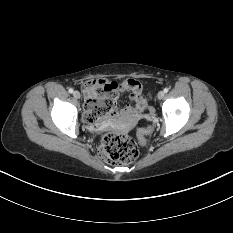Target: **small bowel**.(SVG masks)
<instances>
[{"label": "small bowel", "mask_w": 233, "mask_h": 233, "mask_svg": "<svg viewBox=\"0 0 233 233\" xmlns=\"http://www.w3.org/2000/svg\"><path fill=\"white\" fill-rule=\"evenodd\" d=\"M126 93H130L131 99L133 101V104L125 106L123 109L112 111L110 114L106 116V118H112L116 116L117 114H121L124 116H135L138 113L142 112L147 105V101L145 97L142 94V85L139 81L135 79H127L121 84H118L116 87V99L118 97L123 96ZM98 105L97 100H91L88 101L86 99L85 103V118L86 120L88 119L89 116L92 114V108L94 106ZM100 118L94 120V121H88L90 123H95L99 120Z\"/></svg>", "instance_id": "1"}]
</instances>
